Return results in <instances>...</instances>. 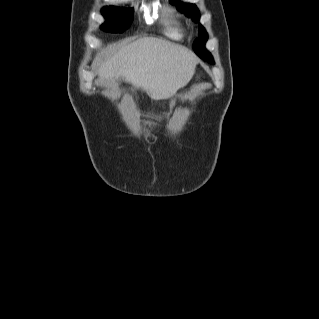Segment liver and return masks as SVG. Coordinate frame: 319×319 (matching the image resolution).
Instances as JSON below:
<instances>
[{"label": "liver", "instance_id": "6515ba94", "mask_svg": "<svg viewBox=\"0 0 319 319\" xmlns=\"http://www.w3.org/2000/svg\"><path fill=\"white\" fill-rule=\"evenodd\" d=\"M197 63V56L183 46L144 37L116 49L100 64L98 76L105 85L121 77L152 99L161 100L187 85Z\"/></svg>", "mask_w": 319, "mask_h": 319}]
</instances>
